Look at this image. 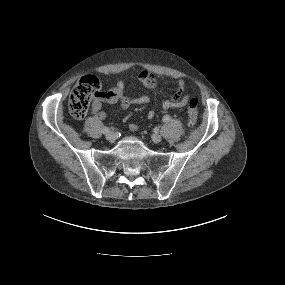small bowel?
<instances>
[{
	"mask_svg": "<svg viewBox=\"0 0 285 285\" xmlns=\"http://www.w3.org/2000/svg\"><path fill=\"white\" fill-rule=\"evenodd\" d=\"M140 83L148 89H155L157 87V81L155 77L147 72H142L139 75ZM186 88V83L184 80H179L177 86L172 96L162 103V109L164 111H169L174 108L185 107L189 101V95L184 94ZM126 85L125 82L119 80L113 87L101 92L100 96L97 97L92 104V114L93 117L98 120H103L106 117V113L103 111L104 104H118V110L122 111L133 105L146 104L150 101V96L147 94H142L138 96H130L125 93ZM155 117V112L150 110L147 113L148 119H153ZM129 128L133 131L138 129V125L131 123Z\"/></svg>",
	"mask_w": 285,
	"mask_h": 285,
	"instance_id": "small-bowel-1",
	"label": "small bowel"
}]
</instances>
